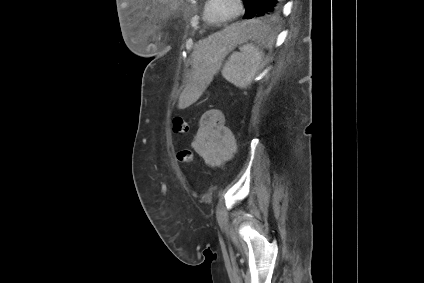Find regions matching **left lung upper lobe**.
Masks as SVG:
<instances>
[{"label": "left lung upper lobe", "mask_w": 424, "mask_h": 283, "mask_svg": "<svg viewBox=\"0 0 424 283\" xmlns=\"http://www.w3.org/2000/svg\"><path fill=\"white\" fill-rule=\"evenodd\" d=\"M245 6H246V14L244 15V19H251L254 18V14L256 12V9L258 7L259 0H243ZM281 7H279L274 13L268 14L265 16H262V18H274L277 16V14L280 12ZM258 18V17H257Z\"/></svg>", "instance_id": "5c2ea615"}]
</instances>
